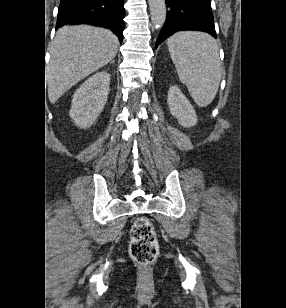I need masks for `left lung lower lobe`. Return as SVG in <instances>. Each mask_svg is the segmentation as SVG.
I'll use <instances>...</instances> for the list:
<instances>
[{
	"mask_svg": "<svg viewBox=\"0 0 286 308\" xmlns=\"http://www.w3.org/2000/svg\"><path fill=\"white\" fill-rule=\"evenodd\" d=\"M167 17L155 48L173 33L199 30L216 36L210 0H166Z\"/></svg>",
	"mask_w": 286,
	"mask_h": 308,
	"instance_id": "obj_1",
	"label": "left lung lower lobe"
}]
</instances>
